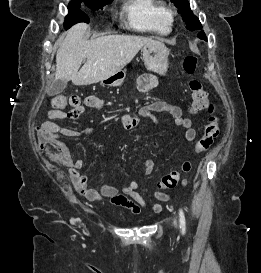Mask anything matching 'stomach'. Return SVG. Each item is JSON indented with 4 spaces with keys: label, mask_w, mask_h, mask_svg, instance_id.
<instances>
[{
    "label": "stomach",
    "mask_w": 261,
    "mask_h": 273,
    "mask_svg": "<svg viewBox=\"0 0 261 273\" xmlns=\"http://www.w3.org/2000/svg\"><path fill=\"white\" fill-rule=\"evenodd\" d=\"M141 51L144 64L149 71L159 73L160 75H164L167 72L168 50L162 42L152 41L145 44ZM125 76V72L120 70L103 80V82L111 86H118L123 83Z\"/></svg>",
    "instance_id": "1"
}]
</instances>
